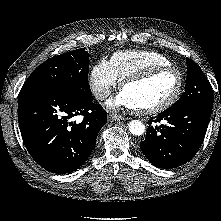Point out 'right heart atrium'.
Instances as JSON below:
<instances>
[{
	"label": "right heart atrium",
	"instance_id": "obj_1",
	"mask_svg": "<svg viewBox=\"0 0 221 221\" xmlns=\"http://www.w3.org/2000/svg\"><path fill=\"white\" fill-rule=\"evenodd\" d=\"M89 84L93 95L98 100L106 99L118 85L109 61L100 60L92 68L89 74Z\"/></svg>",
	"mask_w": 221,
	"mask_h": 221
}]
</instances>
